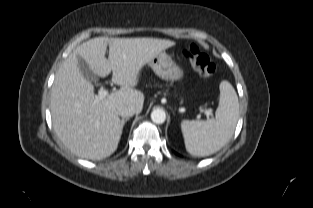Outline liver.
Here are the masks:
<instances>
[{
	"label": "liver",
	"mask_w": 313,
	"mask_h": 208,
	"mask_svg": "<svg viewBox=\"0 0 313 208\" xmlns=\"http://www.w3.org/2000/svg\"><path fill=\"white\" fill-rule=\"evenodd\" d=\"M174 41L157 38L96 37L77 46L58 69L51 91L53 128L61 142L75 155L101 160L112 155L121 138L119 104H131L140 113L144 94L138 84L144 65ZM109 46V58L105 54ZM82 58L100 77L112 72L120 89L96 100L94 87L79 67Z\"/></svg>",
	"instance_id": "6515ba94"
}]
</instances>
